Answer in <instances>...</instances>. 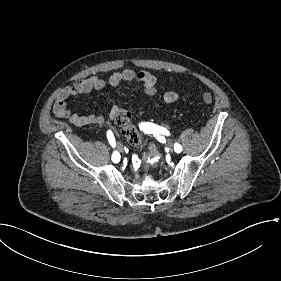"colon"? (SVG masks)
I'll use <instances>...</instances> for the list:
<instances>
[{"label": "colon", "instance_id": "5ec220e1", "mask_svg": "<svg viewBox=\"0 0 281 281\" xmlns=\"http://www.w3.org/2000/svg\"><path fill=\"white\" fill-rule=\"evenodd\" d=\"M202 101L206 104L213 103L214 96L211 93L202 94ZM115 123L122 128L125 138L135 147L140 146L143 141L142 135L135 125L130 122L129 112L125 109L119 110L115 114Z\"/></svg>", "mask_w": 281, "mask_h": 281}]
</instances>
